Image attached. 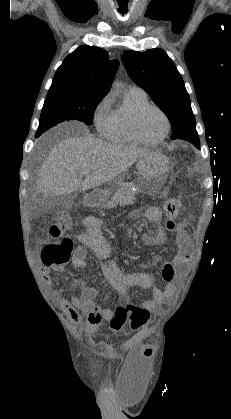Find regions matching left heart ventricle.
<instances>
[{
  "label": "left heart ventricle",
  "mask_w": 231,
  "mask_h": 419,
  "mask_svg": "<svg viewBox=\"0 0 231 419\" xmlns=\"http://www.w3.org/2000/svg\"><path fill=\"white\" fill-rule=\"evenodd\" d=\"M139 128L145 138L153 140L164 134L166 122L157 110L149 109L140 118Z\"/></svg>",
  "instance_id": "1"
}]
</instances>
